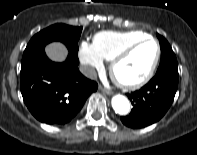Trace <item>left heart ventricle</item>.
Listing matches in <instances>:
<instances>
[{
	"label": "left heart ventricle",
	"instance_id": "1",
	"mask_svg": "<svg viewBox=\"0 0 197 155\" xmlns=\"http://www.w3.org/2000/svg\"><path fill=\"white\" fill-rule=\"evenodd\" d=\"M155 54L156 45L153 42L140 45L117 66V76L126 82L141 79L150 68Z\"/></svg>",
	"mask_w": 197,
	"mask_h": 155
}]
</instances>
